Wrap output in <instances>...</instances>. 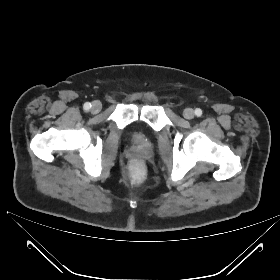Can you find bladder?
<instances>
[{
    "mask_svg": "<svg viewBox=\"0 0 280 280\" xmlns=\"http://www.w3.org/2000/svg\"><path fill=\"white\" fill-rule=\"evenodd\" d=\"M129 136L136 144H144L150 138V135L147 133V131L139 126H134L131 128Z\"/></svg>",
    "mask_w": 280,
    "mask_h": 280,
    "instance_id": "obj_1",
    "label": "bladder"
}]
</instances>
